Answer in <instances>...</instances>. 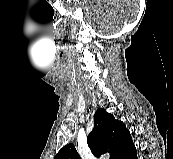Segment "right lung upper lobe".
I'll return each mask as SVG.
<instances>
[{"mask_svg":"<svg viewBox=\"0 0 173 159\" xmlns=\"http://www.w3.org/2000/svg\"><path fill=\"white\" fill-rule=\"evenodd\" d=\"M87 143L96 157L108 152L109 159H124L135 150L126 126L103 108H99L94 115V128L87 137ZM55 159H80V156L73 144H67Z\"/></svg>","mask_w":173,"mask_h":159,"instance_id":"1","label":"right lung upper lobe"}]
</instances>
